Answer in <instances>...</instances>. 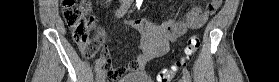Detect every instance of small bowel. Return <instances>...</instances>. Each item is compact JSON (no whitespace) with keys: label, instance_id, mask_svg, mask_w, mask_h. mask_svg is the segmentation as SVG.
Listing matches in <instances>:
<instances>
[{"label":"small bowel","instance_id":"c3829d8e","mask_svg":"<svg viewBox=\"0 0 279 82\" xmlns=\"http://www.w3.org/2000/svg\"><path fill=\"white\" fill-rule=\"evenodd\" d=\"M217 7L207 4L204 9L193 6L185 13L181 21H177L176 14L171 13L160 25H153L143 21L131 20L129 25L141 35L140 53L127 66H116L110 56L109 48L104 45L105 33L100 26H96V37L89 41L93 54L100 49L99 61L109 73L112 80L132 72L140 71L152 59L158 58L169 51L170 44L183 36L189 29L202 27ZM81 50L85 48L80 46Z\"/></svg>","mask_w":279,"mask_h":82}]
</instances>
